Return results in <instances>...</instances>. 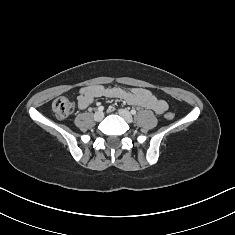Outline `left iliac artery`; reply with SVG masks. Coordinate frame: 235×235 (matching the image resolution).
I'll return each instance as SVG.
<instances>
[{"label":"left iliac artery","instance_id":"1","mask_svg":"<svg viewBox=\"0 0 235 235\" xmlns=\"http://www.w3.org/2000/svg\"><path fill=\"white\" fill-rule=\"evenodd\" d=\"M131 114L135 115V114H136V110H135V109H132V110H131Z\"/></svg>","mask_w":235,"mask_h":235}]
</instances>
